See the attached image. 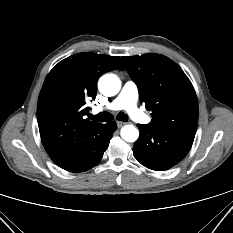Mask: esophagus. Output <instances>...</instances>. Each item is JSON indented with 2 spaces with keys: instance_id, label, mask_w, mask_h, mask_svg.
I'll use <instances>...</instances> for the list:
<instances>
[{
  "instance_id": "34e87169",
  "label": "esophagus",
  "mask_w": 233,
  "mask_h": 233,
  "mask_svg": "<svg viewBox=\"0 0 233 233\" xmlns=\"http://www.w3.org/2000/svg\"><path fill=\"white\" fill-rule=\"evenodd\" d=\"M116 123H117L118 128H121L122 126L126 124L125 122H122V121H117Z\"/></svg>"
}]
</instances>
